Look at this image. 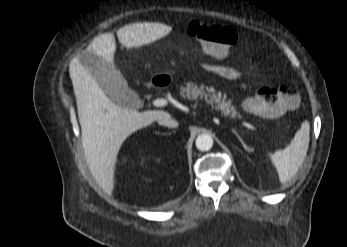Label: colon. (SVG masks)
Wrapping results in <instances>:
<instances>
[{
  "label": "colon",
  "instance_id": "5ec220e1",
  "mask_svg": "<svg viewBox=\"0 0 347 247\" xmlns=\"http://www.w3.org/2000/svg\"><path fill=\"white\" fill-rule=\"evenodd\" d=\"M188 34L199 42L209 56L223 59L229 48L237 41L236 31L228 26L193 21L188 26ZM298 98L288 86L263 87L255 97L244 101V107L253 113L268 117H278L296 108Z\"/></svg>",
  "mask_w": 347,
  "mask_h": 247
}]
</instances>
